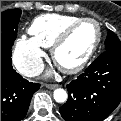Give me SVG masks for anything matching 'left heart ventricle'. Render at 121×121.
<instances>
[{"instance_id": "1", "label": "left heart ventricle", "mask_w": 121, "mask_h": 121, "mask_svg": "<svg viewBox=\"0 0 121 121\" xmlns=\"http://www.w3.org/2000/svg\"><path fill=\"white\" fill-rule=\"evenodd\" d=\"M97 38V28L91 22L81 24L59 48L57 59L62 66L80 62L92 48Z\"/></svg>"}]
</instances>
